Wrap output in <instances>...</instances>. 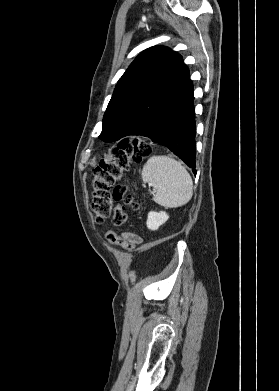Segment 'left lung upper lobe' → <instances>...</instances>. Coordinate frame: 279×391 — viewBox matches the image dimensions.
<instances>
[{
	"label": "left lung upper lobe",
	"mask_w": 279,
	"mask_h": 391,
	"mask_svg": "<svg viewBox=\"0 0 279 391\" xmlns=\"http://www.w3.org/2000/svg\"><path fill=\"white\" fill-rule=\"evenodd\" d=\"M182 57L167 47L139 54L119 79L103 117L105 142L137 134L191 85Z\"/></svg>",
	"instance_id": "left-lung-upper-lobe-1"
}]
</instances>
